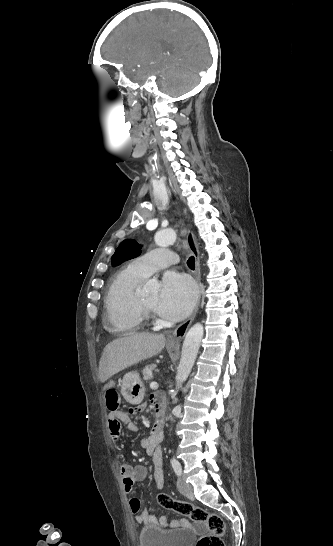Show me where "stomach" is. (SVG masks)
Returning <instances> with one entry per match:
<instances>
[{
  "mask_svg": "<svg viewBox=\"0 0 333 546\" xmlns=\"http://www.w3.org/2000/svg\"><path fill=\"white\" fill-rule=\"evenodd\" d=\"M170 349L175 346L168 345ZM144 384L137 372H129L122 379L121 393L125 400L133 405L140 404L144 398Z\"/></svg>",
  "mask_w": 333,
  "mask_h": 546,
  "instance_id": "0dacf381",
  "label": "stomach"
}]
</instances>
